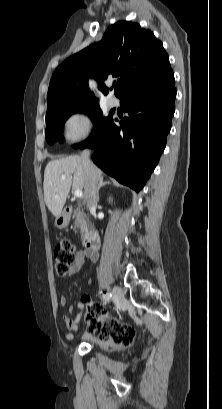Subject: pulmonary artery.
<instances>
[{"label": "pulmonary artery", "instance_id": "e3ab8cb5", "mask_svg": "<svg viewBox=\"0 0 222 409\" xmlns=\"http://www.w3.org/2000/svg\"><path fill=\"white\" fill-rule=\"evenodd\" d=\"M107 104L109 107H115L117 105V100L114 97H109Z\"/></svg>", "mask_w": 222, "mask_h": 409}]
</instances>
